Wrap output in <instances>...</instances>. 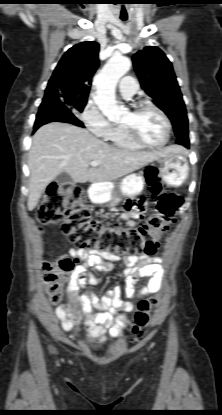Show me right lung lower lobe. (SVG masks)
<instances>
[{
    "label": "right lung lower lobe",
    "instance_id": "obj_1",
    "mask_svg": "<svg viewBox=\"0 0 222 415\" xmlns=\"http://www.w3.org/2000/svg\"><path fill=\"white\" fill-rule=\"evenodd\" d=\"M54 121L67 122L84 127L83 123L73 115L71 110L57 98L53 99L50 103L40 106L34 124V131L40 126Z\"/></svg>",
    "mask_w": 222,
    "mask_h": 415
}]
</instances>
